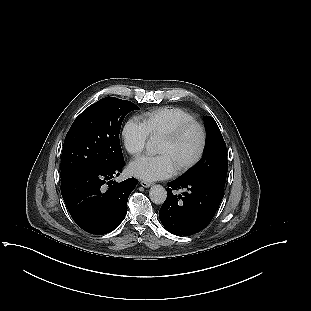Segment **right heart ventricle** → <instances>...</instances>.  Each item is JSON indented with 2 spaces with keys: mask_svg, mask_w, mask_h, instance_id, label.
Listing matches in <instances>:
<instances>
[{
  "mask_svg": "<svg viewBox=\"0 0 311 311\" xmlns=\"http://www.w3.org/2000/svg\"><path fill=\"white\" fill-rule=\"evenodd\" d=\"M194 120V115L180 108L167 106L146 112L142 116V123L151 138L160 137L171 131L181 123Z\"/></svg>",
  "mask_w": 311,
  "mask_h": 311,
  "instance_id": "obj_1",
  "label": "right heart ventricle"
}]
</instances>
